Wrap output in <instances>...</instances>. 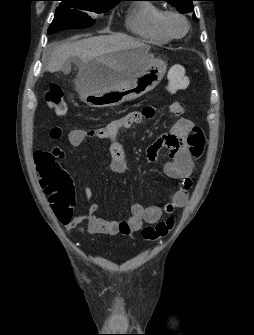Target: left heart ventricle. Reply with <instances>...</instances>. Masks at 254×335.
Returning a JSON list of instances; mask_svg holds the SVG:
<instances>
[{"label": "left heart ventricle", "mask_w": 254, "mask_h": 335, "mask_svg": "<svg viewBox=\"0 0 254 335\" xmlns=\"http://www.w3.org/2000/svg\"><path fill=\"white\" fill-rule=\"evenodd\" d=\"M167 24L170 31L176 35H180L185 31V24L177 17H170Z\"/></svg>", "instance_id": "left-heart-ventricle-1"}]
</instances>
